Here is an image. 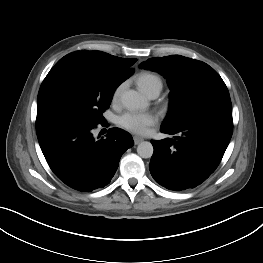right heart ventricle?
<instances>
[{
  "label": "right heart ventricle",
  "mask_w": 263,
  "mask_h": 263,
  "mask_svg": "<svg viewBox=\"0 0 263 263\" xmlns=\"http://www.w3.org/2000/svg\"><path fill=\"white\" fill-rule=\"evenodd\" d=\"M137 84L140 87V89L145 92L149 87H151L155 84L161 85V80L158 76H156L152 73L143 72V73L138 75Z\"/></svg>",
  "instance_id": "1"
}]
</instances>
